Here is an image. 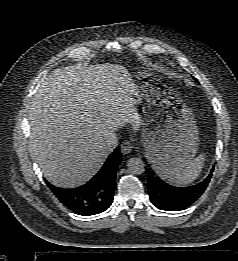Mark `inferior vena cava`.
Returning <instances> with one entry per match:
<instances>
[{
  "instance_id": "obj_1",
  "label": "inferior vena cava",
  "mask_w": 238,
  "mask_h": 261,
  "mask_svg": "<svg viewBox=\"0 0 238 261\" xmlns=\"http://www.w3.org/2000/svg\"><path fill=\"white\" fill-rule=\"evenodd\" d=\"M118 146V136L116 133H108L104 140V148L111 152Z\"/></svg>"
}]
</instances>
